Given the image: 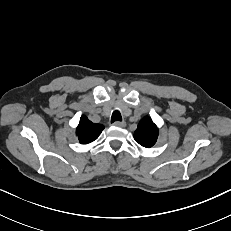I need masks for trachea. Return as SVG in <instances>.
<instances>
[{
    "mask_svg": "<svg viewBox=\"0 0 231 231\" xmlns=\"http://www.w3.org/2000/svg\"><path fill=\"white\" fill-rule=\"evenodd\" d=\"M115 121H122L121 113L117 110L112 113V117H111V123Z\"/></svg>",
    "mask_w": 231,
    "mask_h": 231,
    "instance_id": "3493384b",
    "label": "trachea"
}]
</instances>
